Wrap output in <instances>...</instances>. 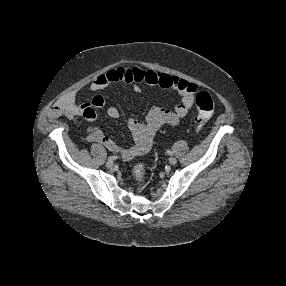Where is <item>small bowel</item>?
Returning <instances> with one entry per match:
<instances>
[{"instance_id":"c3829d8e","label":"small bowel","mask_w":286,"mask_h":286,"mask_svg":"<svg viewBox=\"0 0 286 286\" xmlns=\"http://www.w3.org/2000/svg\"><path fill=\"white\" fill-rule=\"evenodd\" d=\"M134 83V91L140 92L141 83L157 86L164 89H173L180 95L179 103L173 110L163 107H154L149 110L143 120L131 119L128 121V129L133 139V145L127 148L119 147L113 140L107 137L99 128L90 126L87 135L83 139L87 142L99 143L113 152H117L124 160H130L136 156L146 153L153 142L156 132L163 126L175 127L179 125L194 106V96L198 86L186 79L161 73L157 71H145L135 66L133 68L117 67L99 75L89 86L92 92H98L109 86L117 84ZM80 89L67 92L53 107L50 114L52 117L61 115L75 121L92 123L97 118L96 109L104 106V99L100 95L92 98L89 104H78L77 96ZM107 115L116 119L120 112L117 107L109 106Z\"/></svg>"}]
</instances>
